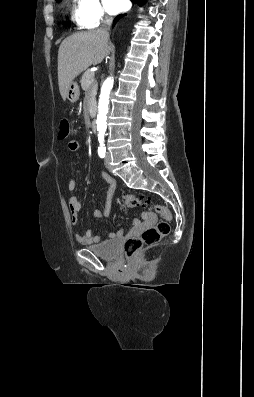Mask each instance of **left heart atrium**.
Instances as JSON below:
<instances>
[{
  "label": "left heart atrium",
  "instance_id": "obj_1",
  "mask_svg": "<svg viewBox=\"0 0 254 397\" xmlns=\"http://www.w3.org/2000/svg\"><path fill=\"white\" fill-rule=\"evenodd\" d=\"M107 11L111 14H116L125 9L127 0H103Z\"/></svg>",
  "mask_w": 254,
  "mask_h": 397
}]
</instances>
